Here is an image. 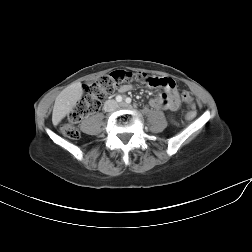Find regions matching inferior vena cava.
<instances>
[{
  "mask_svg": "<svg viewBox=\"0 0 252 252\" xmlns=\"http://www.w3.org/2000/svg\"><path fill=\"white\" fill-rule=\"evenodd\" d=\"M118 104L114 100H108L104 104V110L105 111H113L117 108Z\"/></svg>",
  "mask_w": 252,
  "mask_h": 252,
  "instance_id": "inferior-vena-cava-1",
  "label": "inferior vena cava"
}]
</instances>
